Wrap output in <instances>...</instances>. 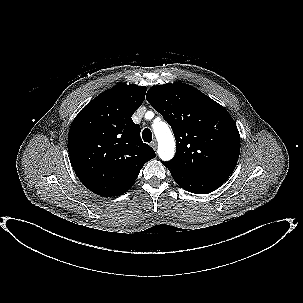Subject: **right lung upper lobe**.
<instances>
[{"label": "right lung upper lobe", "instance_id": "obj_1", "mask_svg": "<svg viewBox=\"0 0 303 303\" xmlns=\"http://www.w3.org/2000/svg\"><path fill=\"white\" fill-rule=\"evenodd\" d=\"M145 86L118 84L98 95L75 117L68 136L72 167L85 187L103 197L127 192L143 165L155 157L131 116Z\"/></svg>", "mask_w": 303, "mask_h": 303}]
</instances>
